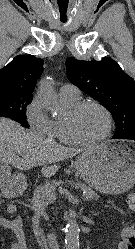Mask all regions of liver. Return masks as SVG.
Here are the masks:
<instances>
[{
	"mask_svg": "<svg viewBox=\"0 0 135 249\" xmlns=\"http://www.w3.org/2000/svg\"><path fill=\"white\" fill-rule=\"evenodd\" d=\"M80 152L81 150L65 148L46 140L11 119L0 118V162L7 166L11 164L19 170L43 166L42 174L50 177L59 168L55 165L56 162Z\"/></svg>",
	"mask_w": 135,
	"mask_h": 249,
	"instance_id": "1",
	"label": "liver"
}]
</instances>
